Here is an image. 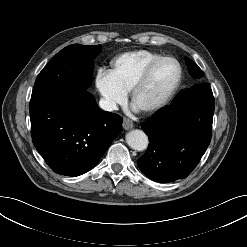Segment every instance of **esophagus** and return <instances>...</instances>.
<instances>
[{"label": "esophagus", "instance_id": "34e87169", "mask_svg": "<svg viewBox=\"0 0 247 247\" xmlns=\"http://www.w3.org/2000/svg\"><path fill=\"white\" fill-rule=\"evenodd\" d=\"M134 123L132 122V120L128 119V118H124L123 119V128L125 130H129L131 128H133Z\"/></svg>", "mask_w": 247, "mask_h": 247}]
</instances>
